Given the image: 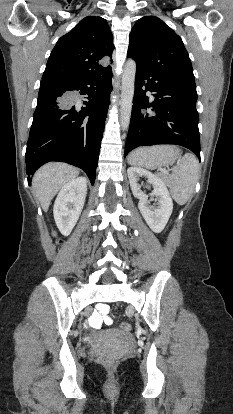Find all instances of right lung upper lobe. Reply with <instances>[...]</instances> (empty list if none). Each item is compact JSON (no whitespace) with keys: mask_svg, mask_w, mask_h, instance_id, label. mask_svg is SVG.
I'll return each instance as SVG.
<instances>
[{"mask_svg":"<svg viewBox=\"0 0 233 414\" xmlns=\"http://www.w3.org/2000/svg\"><path fill=\"white\" fill-rule=\"evenodd\" d=\"M114 46L105 19L88 16L56 43L48 59L42 81H73L100 76L108 66ZM112 62V60H111Z\"/></svg>","mask_w":233,"mask_h":414,"instance_id":"right-lung-upper-lobe-1","label":"right lung upper lobe"}]
</instances>
